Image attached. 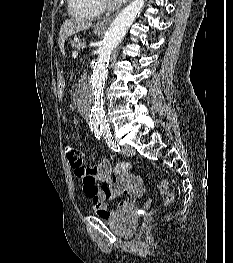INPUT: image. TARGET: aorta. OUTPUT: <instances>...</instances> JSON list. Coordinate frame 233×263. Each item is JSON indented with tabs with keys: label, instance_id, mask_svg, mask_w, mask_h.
Returning a JSON list of instances; mask_svg holds the SVG:
<instances>
[{
	"label": "aorta",
	"instance_id": "1",
	"mask_svg": "<svg viewBox=\"0 0 233 263\" xmlns=\"http://www.w3.org/2000/svg\"><path fill=\"white\" fill-rule=\"evenodd\" d=\"M145 0H133L110 24L105 42L88 81L82 84L77 93V106L91 126L101 131L108 130L104 107V86L108 75V62L114 49L124 38L127 30L140 14Z\"/></svg>",
	"mask_w": 233,
	"mask_h": 263
}]
</instances>
